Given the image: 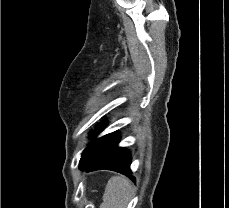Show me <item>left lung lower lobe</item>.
Instances as JSON below:
<instances>
[{"label":"left lung lower lobe","instance_id":"1","mask_svg":"<svg viewBox=\"0 0 229 208\" xmlns=\"http://www.w3.org/2000/svg\"><path fill=\"white\" fill-rule=\"evenodd\" d=\"M119 140V133L114 132L91 142L82 153L79 169L87 172L103 169L113 170L135 181V177L131 175L130 152L126 148L118 147Z\"/></svg>","mask_w":229,"mask_h":208}]
</instances>
